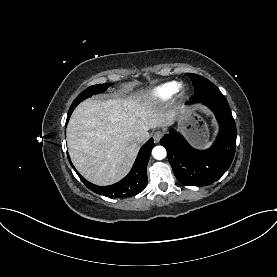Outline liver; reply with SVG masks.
<instances>
[{
  "mask_svg": "<svg viewBox=\"0 0 277 277\" xmlns=\"http://www.w3.org/2000/svg\"><path fill=\"white\" fill-rule=\"evenodd\" d=\"M174 115L154 109L140 97L87 99L76 107L67 126L71 160L96 185L118 182L129 172L140 148L134 133L167 126Z\"/></svg>",
  "mask_w": 277,
  "mask_h": 277,
  "instance_id": "6515ba94",
  "label": "liver"
}]
</instances>
